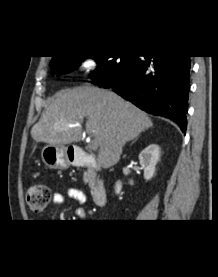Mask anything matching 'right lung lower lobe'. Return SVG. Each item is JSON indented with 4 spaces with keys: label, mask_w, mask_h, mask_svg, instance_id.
Masks as SVG:
<instances>
[{
    "label": "right lung lower lobe",
    "mask_w": 218,
    "mask_h": 277,
    "mask_svg": "<svg viewBox=\"0 0 218 277\" xmlns=\"http://www.w3.org/2000/svg\"><path fill=\"white\" fill-rule=\"evenodd\" d=\"M114 83L97 82L112 88L140 109L169 118L183 132L187 126L190 56H143Z\"/></svg>",
    "instance_id": "obj_1"
}]
</instances>
